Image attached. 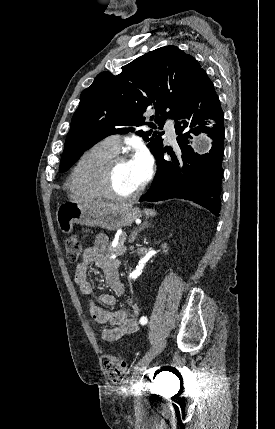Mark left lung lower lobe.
<instances>
[{
	"label": "left lung lower lobe",
	"instance_id": "1",
	"mask_svg": "<svg viewBox=\"0 0 275 429\" xmlns=\"http://www.w3.org/2000/svg\"><path fill=\"white\" fill-rule=\"evenodd\" d=\"M212 118L217 124L207 128L205 119ZM175 131L180 153L162 148L155 156L157 173L148 192L140 201H161L180 198L199 204L219 216L222 158L224 152V113L214 90L213 83L204 70L201 71L194 93L188 104L175 119ZM209 133L212 148L200 155L188 145L190 134ZM168 152L171 160L164 159Z\"/></svg>",
	"mask_w": 275,
	"mask_h": 429
}]
</instances>
